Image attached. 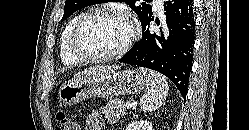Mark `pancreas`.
<instances>
[{"instance_id": "obj_1", "label": "pancreas", "mask_w": 249, "mask_h": 130, "mask_svg": "<svg viewBox=\"0 0 249 130\" xmlns=\"http://www.w3.org/2000/svg\"><path fill=\"white\" fill-rule=\"evenodd\" d=\"M102 113L105 115V120L108 123H116L121 116L126 114V108L123 100L114 99L110 100L102 109Z\"/></svg>"}]
</instances>
